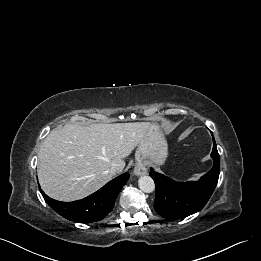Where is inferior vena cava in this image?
Listing matches in <instances>:
<instances>
[{
    "label": "inferior vena cava",
    "instance_id": "602c4592",
    "mask_svg": "<svg viewBox=\"0 0 261 261\" xmlns=\"http://www.w3.org/2000/svg\"><path fill=\"white\" fill-rule=\"evenodd\" d=\"M121 169L119 167L113 166L110 169V174L115 175L116 173H120Z\"/></svg>",
    "mask_w": 261,
    "mask_h": 261
}]
</instances>
